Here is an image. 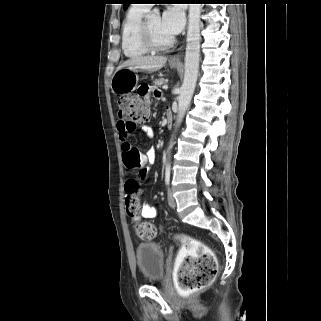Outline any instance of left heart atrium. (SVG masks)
Wrapping results in <instances>:
<instances>
[{"label": "left heart atrium", "mask_w": 321, "mask_h": 321, "mask_svg": "<svg viewBox=\"0 0 321 321\" xmlns=\"http://www.w3.org/2000/svg\"><path fill=\"white\" fill-rule=\"evenodd\" d=\"M161 27L171 36L181 32L185 23V14L178 5H170L160 17Z\"/></svg>", "instance_id": "left-heart-atrium-1"}]
</instances>
